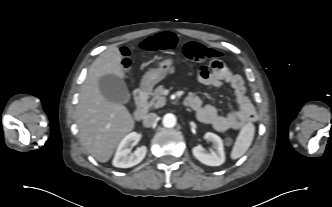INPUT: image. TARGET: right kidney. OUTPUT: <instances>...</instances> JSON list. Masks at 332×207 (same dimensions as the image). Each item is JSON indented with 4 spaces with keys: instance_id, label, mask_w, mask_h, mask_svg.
<instances>
[{
    "instance_id": "right-kidney-1",
    "label": "right kidney",
    "mask_w": 332,
    "mask_h": 207,
    "mask_svg": "<svg viewBox=\"0 0 332 207\" xmlns=\"http://www.w3.org/2000/svg\"><path fill=\"white\" fill-rule=\"evenodd\" d=\"M139 139V134L136 132H131L122 139L112 161L113 166L129 168L139 164L145 158L147 152L146 146L137 148L134 153L129 155L131 145L137 143Z\"/></svg>"
}]
</instances>
